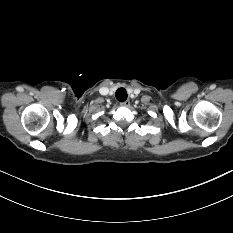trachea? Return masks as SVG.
Returning a JSON list of instances; mask_svg holds the SVG:
<instances>
[{
  "label": "trachea",
  "instance_id": "1",
  "mask_svg": "<svg viewBox=\"0 0 233 233\" xmlns=\"http://www.w3.org/2000/svg\"><path fill=\"white\" fill-rule=\"evenodd\" d=\"M116 99L120 102H124L127 99V91L124 88H119L116 91Z\"/></svg>",
  "mask_w": 233,
  "mask_h": 233
}]
</instances>
